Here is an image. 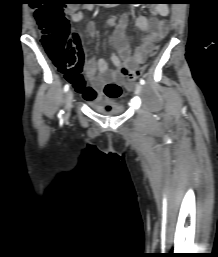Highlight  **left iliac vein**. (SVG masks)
<instances>
[{"instance_id": "1", "label": "left iliac vein", "mask_w": 218, "mask_h": 257, "mask_svg": "<svg viewBox=\"0 0 218 257\" xmlns=\"http://www.w3.org/2000/svg\"><path fill=\"white\" fill-rule=\"evenodd\" d=\"M142 90H143V87L141 84H137L136 87H135V93L137 95H140L142 93Z\"/></svg>"}]
</instances>
